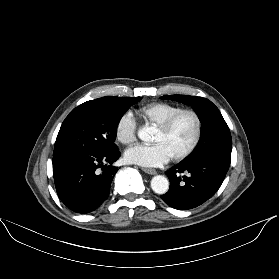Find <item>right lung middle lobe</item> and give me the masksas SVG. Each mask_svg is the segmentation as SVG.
<instances>
[{"instance_id": "1", "label": "right lung middle lobe", "mask_w": 279, "mask_h": 279, "mask_svg": "<svg viewBox=\"0 0 279 279\" xmlns=\"http://www.w3.org/2000/svg\"><path fill=\"white\" fill-rule=\"evenodd\" d=\"M140 97L107 96L87 101L66 117L58 133L53 158L102 156L117 148L116 129L122 115Z\"/></svg>"}]
</instances>
